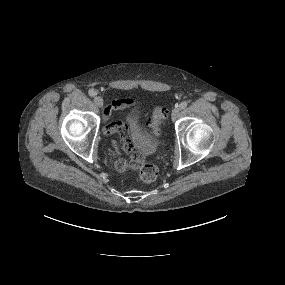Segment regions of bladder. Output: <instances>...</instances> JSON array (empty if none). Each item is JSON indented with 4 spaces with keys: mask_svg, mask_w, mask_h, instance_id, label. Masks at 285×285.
Returning a JSON list of instances; mask_svg holds the SVG:
<instances>
[{
    "mask_svg": "<svg viewBox=\"0 0 285 285\" xmlns=\"http://www.w3.org/2000/svg\"><path fill=\"white\" fill-rule=\"evenodd\" d=\"M127 120H128L129 125L132 126L133 128L137 126V118H136L135 113L129 114ZM138 142L141 148L146 152L154 150L156 146L153 141H149L145 139L142 135L139 137Z\"/></svg>",
    "mask_w": 285,
    "mask_h": 285,
    "instance_id": "obj_1",
    "label": "bladder"
}]
</instances>
